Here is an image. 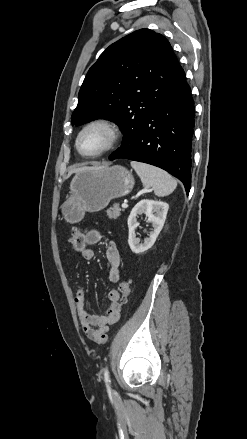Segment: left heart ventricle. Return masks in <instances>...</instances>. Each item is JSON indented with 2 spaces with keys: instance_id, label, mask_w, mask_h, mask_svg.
I'll list each match as a JSON object with an SVG mask.
<instances>
[{
  "instance_id": "left-heart-ventricle-1",
  "label": "left heart ventricle",
  "mask_w": 247,
  "mask_h": 439,
  "mask_svg": "<svg viewBox=\"0 0 247 439\" xmlns=\"http://www.w3.org/2000/svg\"><path fill=\"white\" fill-rule=\"evenodd\" d=\"M109 140V134L103 127L87 130L80 139V148L84 153H94L102 149Z\"/></svg>"
}]
</instances>
